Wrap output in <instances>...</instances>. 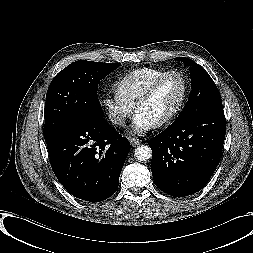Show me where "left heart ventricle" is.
I'll return each instance as SVG.
<instances>
[{
  "mask_svg": "<svg viewBox=\"0 0 253 253\" xmlns=\"http://www.w3.org/2000/svg\"><path fill=\"white\" fill-rule=\"evenodd\" d=\"M183 94V84L178 76L171 75L158 86L152 98L137 112L142 113L155 124L170 115L178 106Z\"/></svg>",
  "mask_w": 253,
  "mask_h": 253,
  "instance_id": "b2bd125f",
  "label": "left heart ventricle"
}]
</instances>
